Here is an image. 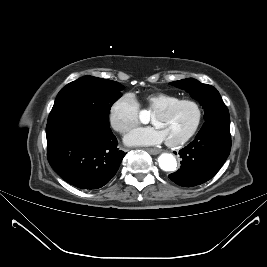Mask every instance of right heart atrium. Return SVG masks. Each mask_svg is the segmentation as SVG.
I'll return each mask as SVG.
<instances>
[{
    "instance_id": "1",
    "label": "right heart atrium",
    "mask_w": 267,
    "mask_h": 267,
    "mask_svg": "<svg viewBox=\"0 0 267 267\" xmlns=\"http://www.w3.org/2000/svg\"><path fill=\"white\" fill-rule=\"evenodd\" d=\"M140 105L132 93H123L109 108V122L114 130L127 133L139 123Z\"/></svg>"
}]
</instances>
